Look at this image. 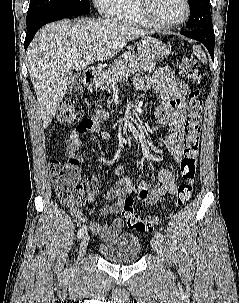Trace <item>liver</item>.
Listing matches in <instances>:
<instances>
[{"mask_svg":"<svg viewBox=\"0 0 239 303\" xmlns=\"http://www.w3.org/2000/svg\"><path fill=\"white\" fill-rule=\"evenodd\" d=\"M146 35L147 31L110 19L62 20L42 27L27 49V60L43 128L55 116L74 70L110 59L129 41ZM91 46L96 49L90 51Z\"/></svg>","mask_w":239,"mask_h":303,"instance_id":"1","label":"liver"}]
</instances>
